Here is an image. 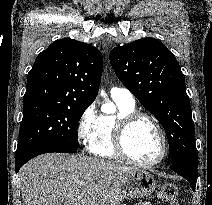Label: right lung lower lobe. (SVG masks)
I'll list each match as a JSON object with an SVG mask.
<instances>
[{
  "instance_id": "1",
  "label": "right lung lower lobe",
  "mask_w": 212,
  "mask_h": 205,
  "mask_svg": "<svg viewBox=\"0 0 212 205\" xmlns=\"http://www.w3.org/2000/svg\"><path fill=\"white\" fill-rule=\"evenodd\" d=\"M78 148L69 147L66 145L41 143L32 145L18 153H16V172L30 159L44 153H76Z\"/></svg>"
}]
</instances>
